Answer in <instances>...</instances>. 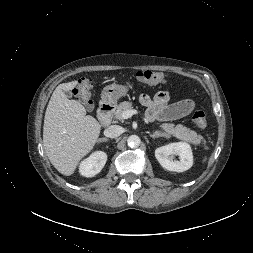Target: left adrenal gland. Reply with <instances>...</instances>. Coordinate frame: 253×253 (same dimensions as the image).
Instances as JSON below:
<instances>
[{
    "label": "left adrenal gland",
    "instance_id": "a2214340",
    "mask_svg": "<svg viewBox=\"0 0 253 253\" xmlns=\"http://www.w3.org/2000/svg\"><path fill=\"white\" fill-rule=\"evenodd\" d=\"M151 138L155 139V138H158V137H166V138H169V136L167 134H164V133H161L160 131H155L153 134L150 133L149 134Z\"/></svg>",
    "mask_w": 253,
    "mask_h": 253
}]
</instances>
